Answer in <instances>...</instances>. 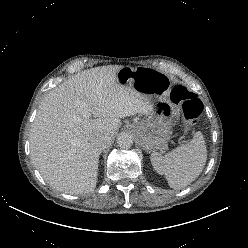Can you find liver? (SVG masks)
<instances>
[{
	"label": "liver",
	"instance_id": "liver-1",
	"mask_svg": "<svg viewBox=\"0 0 248 248\" xmlns=\"http://www.w3.org/2000/svg\"><path fill=\"white\" fill-rule=\"evenodd\" d=\"M121 68L82 71L41 101L30 130L31 159L53 188L76 195L92 192L102 151L93 140L107 134L111 143L121 118L152 111L151 97L119 84Z\"/></svg>",
	"mask_w": 248,
	"mask_h": 248
}]
</instances>
